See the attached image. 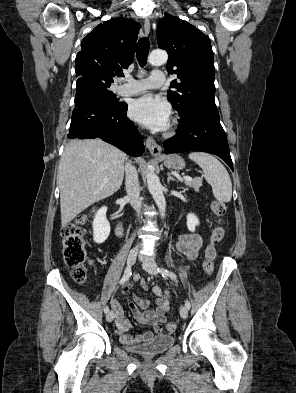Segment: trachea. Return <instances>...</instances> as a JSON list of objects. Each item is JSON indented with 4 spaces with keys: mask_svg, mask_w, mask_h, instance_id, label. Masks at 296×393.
I'll return each instance as SVG.
<instances>
[{
    "mask_svg": "<svg viewBox=\"0 0 296 393\" xmlns=\"http://www.w3.org/2000/svg\"><path fill=\"white\" fill-rule=\"evenodd\" d=\"M150 43L147 37L139 39L136 50V57L141 67L146 65Z\"/></svg>",
    "mask_w": 296,
    "mask_h": 393,
    "instance_id": "3493384b",
    "label": "trachea"
}]
</instances>
